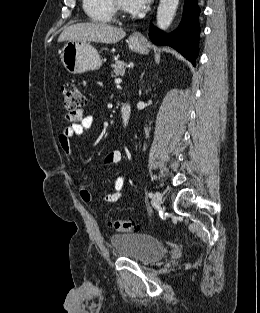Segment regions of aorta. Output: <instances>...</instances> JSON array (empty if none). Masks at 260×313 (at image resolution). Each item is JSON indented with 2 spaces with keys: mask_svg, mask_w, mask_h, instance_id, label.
I'll use <instances>...</instances> for the list:
<instances>
[{
  "mask_svg": "<svg viewBox=\"0 0 260 313\" xmlns=\"http://www.w3.org/2000/svg\"><path fill=\"white\" fill-rule=\"evenodd\" d=\"M179 0H160L157 10V26L165 30L173 21Z\"/></svg>",
  "mask_w": 260,
  "mask_h": 313,
  "instance_id": "762f6f07",
  "label": "aorta"
}]
</instances>
